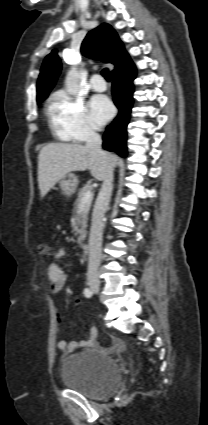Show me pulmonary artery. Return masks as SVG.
<instances>
[{"label":"pulmonary artery","instance_id":"1","mask_svg":"<svg viewBox=\"0 0 208 425\" xmlns=\"http://www.w3.org/2000/svg\"><path fill=\"white\" fill-rule=\"evenodd\" d=\"M90 85L97 92L105 91L107 88L106 82L100 74H94L90 79Z\"/></svg>","mask_w":208,"mask_h":425}]
</instances>
